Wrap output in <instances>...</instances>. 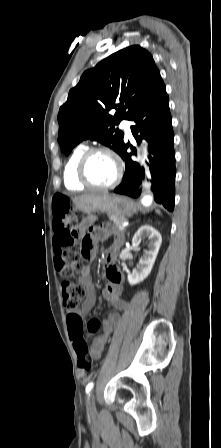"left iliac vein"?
<instances>
[{
    "label": "left iliac vein",
    "instance_id": "left-iliac-vein-1",
    "mask_svg": "<svg viewBox=\"0 0 221 448\" xmlns=\"http://www.w3.org/2000/svg\"><path fill=\"white\" fill-rule=\"evenodd\" d=\"M87 404H88V409L90 411L95 410V399H94V395L92 393L88 396Z\"/></svg>",
    "mask_w": 221,
    "mask_h": 448
}]
</instances>
